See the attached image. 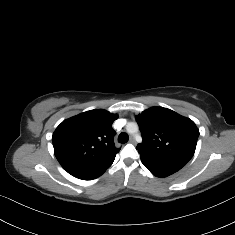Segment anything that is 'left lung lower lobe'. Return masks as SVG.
Returning <instances> with one entry per match:
<instances>
[{
  "mask_svg": "<svg viewBox=\"0 0 235 235\" xmlns=\"http://www.w3.org/2000/svg\"><path fill=\"white\" fill-rule=\"evenodd\" d=\"M144 166L156 177L163 178L174 174L185 165L141 154Z\"/></svg>",
  "mask_w": 235,
  "mask_h": 235,
  "instance_id": "1",
  "label": "left lung lower lobe"
}]
</instances>
